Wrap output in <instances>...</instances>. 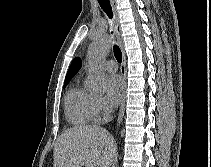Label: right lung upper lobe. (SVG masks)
<instances>
[{"label":"right lung upper lobe","instance_id":"obj_1","mask_svg":"<svg viewBox=\"0 0 211 167\" xmlns=\"http://www.w3.org/2000/svg\"><path fill=\"white\" fill-rule=\"evenodd\" d=\"M81 68L80 58H75L71 63L68 72L65 77V81H70L71 77Z\"/></svg>","mask_w":211,"mask_h":167}]
</instances>
